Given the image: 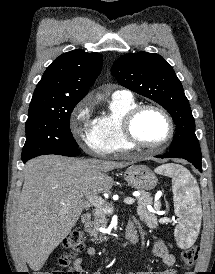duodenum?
Listing matches in <instances>:
<instances>
[{"label": "duodenum", "mask_w": 215, "mask_h": 274, "mask_svg": "<svg viewBox=\"0 0 215 274\" xmlns=\"http://www.w3.org/2000/svg\"><path fill=\"white\" fill-rule=\"evenodd\" d=\"M90 219H91V214L89 212H85L81 216V222L83 224L89 223ZM136 237H137V231L134 227H131L129 229L128 235H127V239L129 241V243H133L135 241Z\"/></svg>", "instance_id": "1"}]
</instances>
